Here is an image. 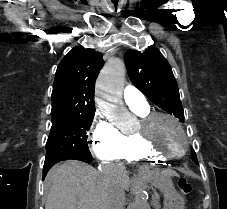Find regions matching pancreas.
<instances>
[{
  "mask_svg": "<svg viewBox=\"0 0 227 209\" xmlns=\"http://www.w3.org/2000/svg\"><path fill=\"white\" fill-rule=\"evenodd\" d=\"M153 209H159V204L155 203Z\"/></svg>",
  "mask_w": 227,
  "mask_h": 209,
  "instance_id": "pancreas-1",
  "label": "pancreas"
}]
</instances>
